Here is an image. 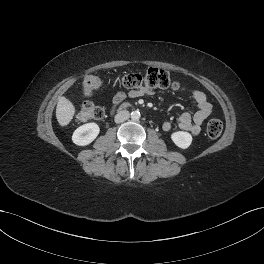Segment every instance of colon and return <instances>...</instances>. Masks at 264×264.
<instances>
[{
  "mask_svg": "<svg viewBox=\"0 0 264 264\" xmlns=\"http://www.w3.org/2000/svg\"><path fill=\"white\" fill-rule=\"evenodd\" d=\"M127 89H165L172 88L178 90L180 85L171 79L170 74L159 68H149L144 74L131 73L115 81ZM104 88V81L97 76L88 75L84 78L82 84V93L90 97ZM105 111L102 107L96 106L90 102L84 104L78 112L77 118L80 120H97L103 118ZM223 131V124L219 119H211L206 126V133L210 138H218Z\"/></svg>",
  "mask_w": 264,
  "mask_h": 264,
  "instance_id": "obj_1",
  "label": "colon"
}]
</instances>
